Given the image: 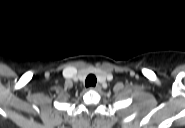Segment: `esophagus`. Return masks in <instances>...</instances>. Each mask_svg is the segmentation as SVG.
I'll list each match as a JSON object with an SVG mask.
<instances>
[{"label": "esophagus", "instance_id": "obj_1", "mask_svg": "<svg viewBox=\"0 0 185 128\" xmlns=\"http://www.w3.org/2000/svg\"><path fill=\"white\" fill-rule=\"evenodd\" d=\"M90 89H93V90H96V91H100L101 87H100V85H95L93 87H90Z\"/></svg>", "mask_w": 185, "mask_h": 128}]
</instances>
